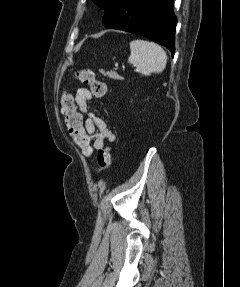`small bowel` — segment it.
<instances>
[{
  "label": "small bowel",
  "instance_id": "c3829d8e",
  "mask_svg": "<svg viewBox=\"0 0 240 287\" xmlns=\"http://www.w3.org/2000/svg\"><path fill=\"white\" fill-rule=\"evenodd\" d=\"M92 101L93 98L88 89L79 88L77 90L74 97L76 109L82 117H86L84 128L89 136H92L94 148L99 150L104 147L106 141L114 142L116 137L111 132L106 122L89 110Z\"/></svg>",
  "mask_w": 240,
  "mask_h": 287
}]
</instances>
